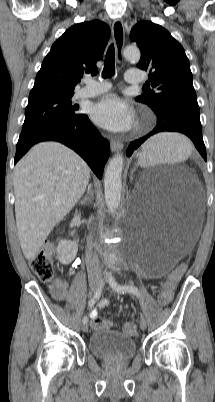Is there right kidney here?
<instances>
[{
	"label": "right kidney",
	"instance_id": "1",
	"mask_svg": "<svg viewBox=\"0 0 215 402\" xmlns=\"http://www.w3.org/2000/svg\"><path fill=\"white\" fill-rule=\"evenodd\" d=\"M78 251V245L74 241L60 240L57 246L58 259L62 264H69Z\"/></svg>",
	"mask_w": 215,
	"mask_h": 402
}]
</instances>
